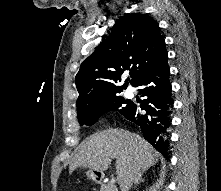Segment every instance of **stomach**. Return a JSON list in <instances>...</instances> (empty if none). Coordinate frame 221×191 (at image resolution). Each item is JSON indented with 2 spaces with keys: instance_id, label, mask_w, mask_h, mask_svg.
<instances>
[{
  "instance_id": "stomach-1",
  "label": "stomach",
  "mask_w": 221,
  "mask_h": 191,
  "mask_svg": "<svg viewBox=\"0 0 221 191\" xmlns=\"http://www.w3.org/2000/svg\"><path fill=\"white\" fill-rule=\"evenodd\" d=\"M86 176L88 179L93 180L95 182L99 181L101 176H102V172H98L95 170H88L86 172Z\"/></svg>"
}]
</instances>
